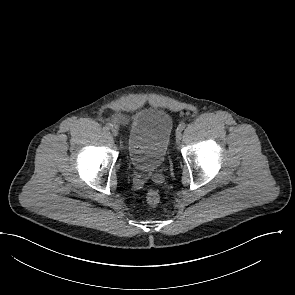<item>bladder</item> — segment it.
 Returning a JSON list of instances; mask_svg holds the SVG:
<instances>
[{"label":"bladder","instance_id":"bladder-1","mask_svg":"<svg viewBox=\"0 0 295 295\" xmlns=\"http://www.w3.org/2000/svg\"><path fill=\"white\" fill-rule=\"evenodd\" d=\"M172 135V119L159 107H146L134 116L127 137V153L132 165L153 171L164 162Z\"/></svg>","mask_w":295,"mask_h":295}]
</instances>
